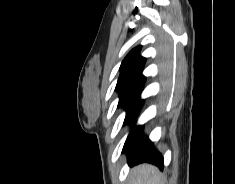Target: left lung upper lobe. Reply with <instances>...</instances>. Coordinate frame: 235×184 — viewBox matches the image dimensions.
<instances>
[{
  "label": "left lung upper lobe",
  "instance_id": "left-lung-upper-lobe-1",
  "mask_svg": "<svg viewBox=\"0 0 235 184\" xmlns=\"http://www.w3.org/2000/svg\"><path fill=\"white\" fill-rule=\"evenodd\" d=\"M141 48L142 46H137L132 49L124 58L120 66L121 72L116 85V90L119 93L118 107H123L126 110L124 124L135 123L144 102L140 99V94L146 80L142 75L146 58L140 56L139 53ZM133 130L134 128L129 133L125 145L130 139Z\"/></svg>",
  "mask_w": 235,
  "mask_h": 184
}]
</instances>
